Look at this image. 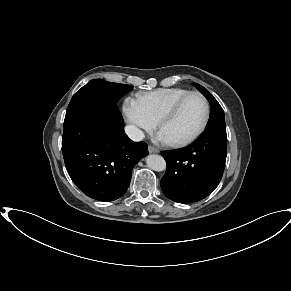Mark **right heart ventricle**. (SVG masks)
<instances>
[{"label":"right heart ventricle","instance_id":"right-heart-ventricle-1","mask_svg":"<svg viewBox=\"0 0 291 291\" xmlns=\"http://www.w3.org/2000/svg\"><path fill=\"white\" fill-rule=\"evenodd\" d=\"M190 91L183 88H162L139 95L138 101L156 123L183 96Z\"/></svg>","mask_w":291,"mask_h":291}]
</instances>
